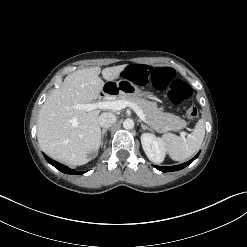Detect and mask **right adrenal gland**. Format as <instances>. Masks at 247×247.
<instances>
[{
  "mask_svg": "<svg viewBox=\"0 0 247 247\" xmlns=\"http://www.w3.org/2000/svg\"><path fill=\"white\" fill-rule=\"evenodd\" d=\"M107 131H108V128L102 130V134H101V139L102 140H103L104 136L106 135ZM106 144H107V141L105 142V146H106Z\"/></svg>",
  "mask_w": 247,
  "mask_h": 247,
  "instance_id": "2a0ac1e0",
  "label": "right adrenal gland"
}]
</instances>
